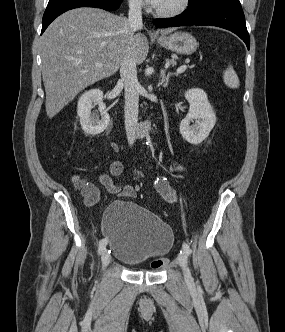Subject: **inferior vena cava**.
<instances>
[{
  "mask_svg": "<svg viewBox=\"0 0 285 332\" xmlns=\"http://www.w3.org/2000/svg\"><path fill=\"white\" fill-rule=\"evenodd\" d=\"M142 0H130L129 3V35L131 38L135 30L142 25ZM120 76L125 89V129L129 145L135 142V133L138 123L139 82L137 79L136 63L128 52L121 62Z\"/></svg>",
  "mask_w": 285,
  "mask_h": 332,
  "instance_id": "obj_1",
  "label": "inferior vena cava"
}]
</instances>
